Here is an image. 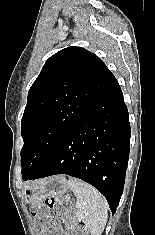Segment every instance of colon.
Listing matches in <instances>:
<instances>
[{
  "instance_id": "5ec220e1",
  "label": "colon",
  "mask_w": 155,
  "mask_h": 235,
  "mask_svg": "<svg viewBox=\"0 0 155 235\" xmlns=\"http://www.w3.org/2000/svg\"><path fill=\"white\" fill-rule=\"evenodd\" d=\"M73 209L69 197H47L35 207L34 218L43 235H89L84 223L73 217ZM59 222L65 223L62 233Z\"/></svg>"
}]
</instances>
